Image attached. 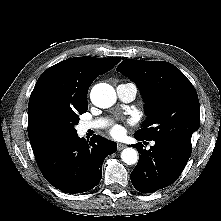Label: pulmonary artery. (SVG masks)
I'll list each match as a JSON object with an SVG mask.
<instances>
[{
  "label": "pulmonary artery",
  "instance_id": "pulmonary-artery-1",
  "mask_svg": "<svg viewBox=\"0 0 221 221\" xmlns=\"http://www.w3.org/2000/svg\"><path fill=\"white\" fill-rule=\"evenodd\" d=\"M117 95L119 99L125 103L133 101L136 97L137 89L136 86L132 83L120 84L116 88ZM107 125V120L104 118L85 121L81 124V129L83 131L101 129Z\"/></svg>",
  "mask_w": 221,
  "mask_h": 221
}]
</instances>
